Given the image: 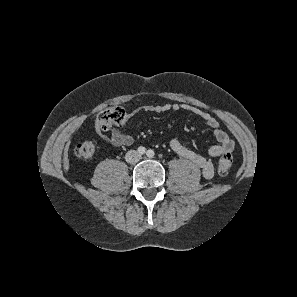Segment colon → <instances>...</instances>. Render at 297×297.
I'll use <instances>...</instances> for the list:
<instances>
[{
	"label": "colon",
	"mask_w": 297,
	"mask_h": 297,
	"mask_svg": "<svg viewBox=\"0 0 297 297\" xmlns=\"http://www.w3.org/2000/svg\"><path fill=\"white\" fill-rule=\"evenodd\" d=\"M126 118L125 110L121 107H112L99 113L97 117V127L101 130H108L114 125L121 124ZM77 157L85 160L91 159L95 154V145L92 141L85 140L77 143L75 147ZM232 156L230 153L223 154L218 161V172L221 175L228 174L232 166Z\"/></svg>",
	"instance_id": "1"
}]
</instances>
